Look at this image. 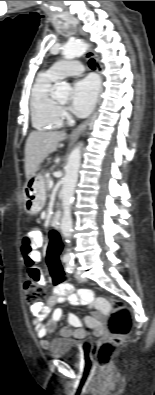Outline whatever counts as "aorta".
<instances>
[{
	"instance_id": "1",
	"label": "aorta",
	"mask_w": 155,
	"mask_h": 395,
	"mask_svg": "<svg viewBox=\"0 0 155 395\" xmlns=\"http://www.w3.org/2000/svg\"><path fill=\"white\" fill-rule=\"evenodd\" d=\"M87 48L88 44L84 41L69 42L62 47V54L66 59H73L86 52ZM70 91L71 86L69 83L65 81L59 82L56 84L55 97L57 99H66L70 94ZM81 146L82 144L76 146L68 157L67 165L65 167V176L60 191L63 208L60 228L67 243H70L69 239L71 238L72 233L71 205L81 163ZM65 257L68 260L73 258V254L70 249H67Z\"/></svg>"
}]
</instances>
